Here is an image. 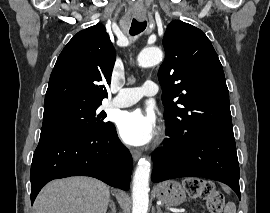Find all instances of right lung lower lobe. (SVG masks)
<instances>
[{"label":"right lung lower lobe","instance_id":"obj_1","mask_svg":"<svg viewBox=\"0 0 270 213\" xmlns=\"http://www.w3.org/2000/svg\"><path fill=\"white\" fill-rule=\"evenodd\" d=\"M132 157L111 125L98 134L43 131L31 165V203L49 181L90 176L129 189Z\"/></svg>","mask_w":270,"mask_h":213}]
</instances>
